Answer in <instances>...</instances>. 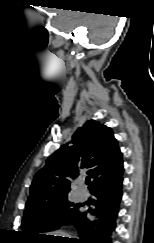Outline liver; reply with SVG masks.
I'll return each instance as SVG.
<instances>
[{
    "label": "liver",
    "instance_id": "liver-1",
    "mask_svg": "<svg viewBox=\"0 0 154 243\" xmlns=\"http://www.w3.org/2000/svg\"><path fill=\"white\" fill-rule=\"evenodd\" d=\"M49 235L61 236V237H68L66 233L60 232V231H56V232L50 233Z\"/></svg>",
    "mask_w": 154,
    "mask_h": 243
}]
</instances>
